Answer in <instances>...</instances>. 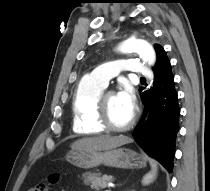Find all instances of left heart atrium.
<instances>
[{
  "instance_id": "1",
  "label": "left heart atrium",
  "mask_w": 210,
  "mask_h": 191,
  "mask_svg": "<svg viewBox=\"0 0 210 191\" xmlns=\"http://www.w3.org/2000/svg\"><path fill=\"white\" fill-rule=\"evenodd\" d=\"M118 101L130 112L133 113L136 99L134 95V91L128 84H123L117 93Z\"/></svg>"
}]
</instances>
